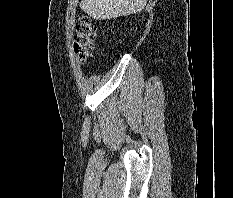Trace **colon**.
I'll list each match as a JSON object with an SVG mask.
<instances>
[{
  "label": "colon",
  "mask_w": 233,
  "mask_h": 198,
  "mask_svg": "<svg viewBox=\"0 0 233 198\" xmlns=\"http://www.w3.org/2000/svg\"><path fill=\"white\" fill-rule=\"evenodd\" d=\"M94 37L95 29L91 19L87 16L81 17L73 40L74 52L81 62H85L89 58Z\"/></svg>",
  "instance_id": "5ec220e1"
}]
</instances>
